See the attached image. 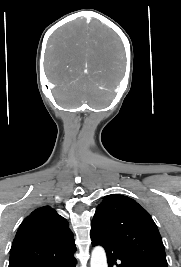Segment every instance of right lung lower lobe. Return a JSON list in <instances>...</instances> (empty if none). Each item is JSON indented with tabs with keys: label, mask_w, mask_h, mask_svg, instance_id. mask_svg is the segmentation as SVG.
I'll return each instance as SVG.
<instances>
[{
	"label": "right lung lower lobe",
	"mask_w": 181,
	"mask_h": 267,
	"mask_svg": "<svg viewBox=\"0 0 181 267\" xmlns=\"http://www.w3.org/2000/svg\"><path fill=\"white\" fill-rule=\"evenodd\" d=\"M74 253L75 250L47 261H23L10 264L9 267H75L76 259L73 257Z\"/></svg>",
	"instance_id": "obj_1"
}]
</instances>
